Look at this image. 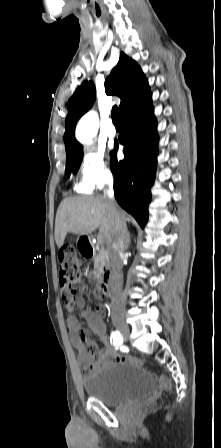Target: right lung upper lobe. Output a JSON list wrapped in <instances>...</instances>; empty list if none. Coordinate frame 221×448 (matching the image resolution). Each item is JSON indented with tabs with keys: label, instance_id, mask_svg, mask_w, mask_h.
Returning <instances> with one entry per match:
<instances>
[{
	"label": "right lung upper lobe",
	"instance_id": "obj_1",
	"mask_svg": "<svg viewBox=\"0 0 221 448\" xmlns=\"http://www.w3.org/2000/svg\"><path fill=\"white\" fill-rule=\"evenodd\" d=\"M107 95L116 94L120 99V117L129 109L136 106L147 96L150 88L142 70L137 63L120 54L118 64L113 68L105 81ZM95 101V86L91 81H85L68 101V115L64 142L67 157L83 151V146L76 141L74 132L78 119L87 112Z\"/></svg>",
	"mask_w": 221,
	"mask_h": 448
}]
</instances>
